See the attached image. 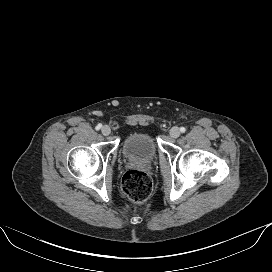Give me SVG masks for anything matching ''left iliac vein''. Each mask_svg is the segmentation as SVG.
<instances>
[{
  "label": "left iliac vein",
  "mask_w": 272,
  "mask_h": 272,
  "mask_svg": "<svg viewBox=\"0 0 272 272\" xmlns=\"http://www.w3.org/2000/svg\"><path fill=\"white\" fill-rule=\"evenodd\" d=\"M170 136L172 138H177L180 135V130L178 127H172L169 132Z\"/></svg>",
  "instance_id": "obj_1"
}]
</instances>
